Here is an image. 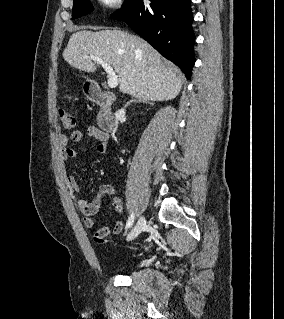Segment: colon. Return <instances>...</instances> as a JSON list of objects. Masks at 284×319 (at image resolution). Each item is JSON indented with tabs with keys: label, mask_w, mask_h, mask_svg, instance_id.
I'll return each mask as SVG.
<instances>
[{
	"label": "colon",
	"mask_w": 284,
	"mask_h": 319,
	"mask_svg": "<svg viewBox=\"0 0 284 319\" xmlns=\"http://www.w3.org/2000/svg\"><path fill=\"white\" fill-rule=\"evenodd\" d=\"M58 118L61 128L64 131H70L74 129L77 125V118L73 111L67 109L66 107H60L58 109ZM97 242H105V239L94 238Z\"/></svg>",
	"instance_id": "colon-1"
}]
</instances>
